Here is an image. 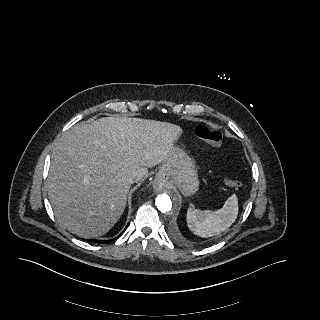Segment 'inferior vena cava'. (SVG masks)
<instances>
[{"label":"inferior vena cava","mask_w":320,"mask_h":320,"mask_svg":"<svg viewBox=\"0 0 320 320\" xmlns=\"http://www.w3.org/2000/svg\"><path fill=\"white\" fill-rule=\"evenodd\" d=\"M128 182H129L130 184L134 183V182H135V177H134V176H130V177L128 178Z\"/></svg>","instance_id":"inferior-vena-cava-1"}]
</instances>
